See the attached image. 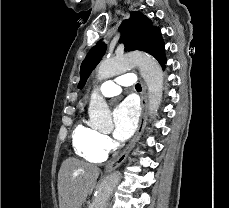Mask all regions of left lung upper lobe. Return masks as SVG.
<instances>
[{
    "label": "left lung upper lobe",
    "instance_id": "left-lung-upper-lobe-1",
    "mask_svg": "<svg viewBox=\"0 0 229 208\" xmlns=\"http://www.w3.org/2000/svg\"><path fill=\"white\" fill-rule=\"evenodd\" d=\"M119 31L121 32L119 42L124 43L125 51H145L154 56L159 63L166 60L165 44L160 29L153 26L152 21L141 12H131L130 18L122 22ZM105 51L106 45L99 41L88 52L81 64L79 89L84 87L89 74L99 63Z\"/></svg>",
    "mask_w": 229,
    "mask_h": 208
}]
</instances>
